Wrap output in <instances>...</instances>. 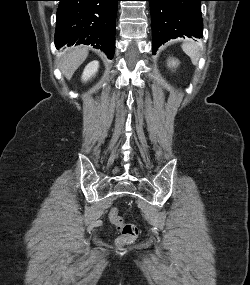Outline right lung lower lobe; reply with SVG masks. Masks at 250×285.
I'll return each mask as SVG.
<instances>
[{
    "label": "right lung lower lobe",
    "instance_id": "obj_1",
    "mask_svg": "<svg viewBox=\"0 0 250 285\" xmlns=\"http://www.w3.org/2000/svg\"><path fill=\"white\" fill-rule=\"evenodd\" d=\"M55 44H91L109 59L115 51V23L119 0H58Z\"/></svg>",
    "mask_w": 250,
    "mask_h": 285
}]
</instances>
